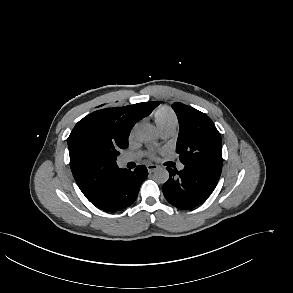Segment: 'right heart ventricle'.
<instances>
[{
  "label": "right heart ventricle",
  "instance_id": "1",
  "mask_svg": "<svg viewBox=\"0 0 293 293\" xmlns=\"http://www.w3.org/2000/svg\"><path fill=\"white\" fill-rule=\"evenodd\" d=\"M153 118L159 130L175 128L178 124L176 114L167 106H162L156 109L153 113Z\"/></svg>",
  "mask_w": 293,
  "mask_h": 293
}]
</instances>
